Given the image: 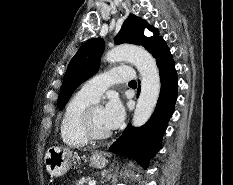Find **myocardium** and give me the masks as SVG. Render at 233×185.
Masks as SVG:
<instances>
[{"instance_id":"myocardium-1","label":"myocardium","mask_w":233,"mask_h":185,"mask_svg":"<svg viewBox=\"0 0 233 185\" xmlns=\"http://www.w3.org/2000/svg\"><path fill=\"white\" fill-rule=\"evenodd\" d=\"M97 107H101V105L93 102L85 109V111L81 116V128L84 135L89 141H102L111 136V131L107 133L99 134L95 132V130L93 129L91 116H92V112Z\"/></svg>"}]
</instances>
